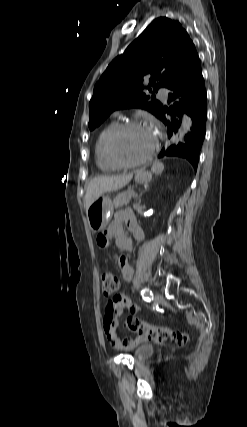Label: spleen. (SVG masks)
Here are the masks:
<instances>
[{"instance_id":"spleen-1","label":"spleen","mask_w":247,"mask_h":427,"mask_svg":"<svg viewBox=\"0 0 247 427\" xmlns=\"http://www.w3.org/2000/svg\"><path fill=\"white\" fill-rule=\"evenodd\" d=\"M160 166H162L161 164H158V163H155L154 165H153V169H155V168H158V167H160ZM163 167V166H162Z\"/></svg>"}]
</instances>
